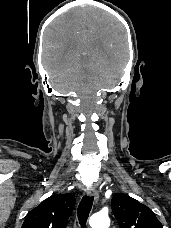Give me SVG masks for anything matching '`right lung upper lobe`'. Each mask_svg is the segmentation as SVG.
Masks as SVG:
<instances>
[{"instance_id":"cb5924a9","label":"right lung upper lobe","mask_w":171,"mask_h":228,"mask_svg":"<svg viewBox=\"0 0 171 228\" xmlns=\"http://www.w3.org/2000/svg\"><path fill=\"white\" fill-rule=\"evenodd\" d=\"M74 205L71 194L52 195L28 213L21 228H65Z\"/></svg>"}]
</instances>
